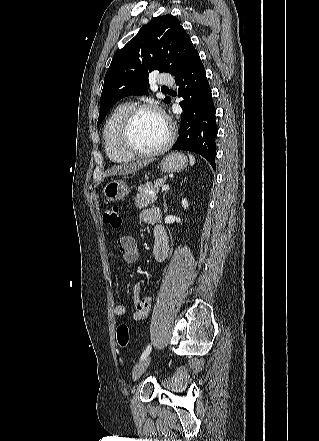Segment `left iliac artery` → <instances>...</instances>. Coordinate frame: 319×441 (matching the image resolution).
Segmentation results:
<instances>
[{"label":"left iliac artery","mask_w":319,"mask_h":441,"mask_svg":"<svg viewBox=\"0 0 319 441\" xmlns=\"http://www.w3.org/2000/svg\"><path fill=\"white\" fill-rule=\"evenodd\" d=\"M151 344H149L146 349L144 350V352L142 353L141 357H140V361L145 359L151 352Z\"/></svg>","instance_id":"1"}]
</instances>
